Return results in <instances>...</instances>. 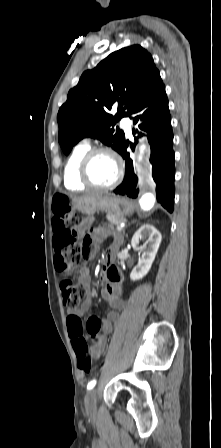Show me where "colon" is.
Returning a JSON list of instances; mask_svg holds the SVG:
<instances>
[{
	"instance_id": "colon-1",
	"label": "colon",
	"mask_w": 221,
	"mask_h": 448,
	"mask_svg": "<svg viewBox=\"0 0 221 448\" xmlns=\"http://www.w3.org/2000/svg\"><path fill=\"white\" fill-rule=\"evenodd\" d=\"M52 211L56 216L54 221V265L56 270L63 275L61 281V292L63 305L67 309H75L85 295V287L75 283L70 275L78 269L90 256L91 239L83 237L77 231L79 227V216L70 212V203L67 196L57 195L53 198ZM68 215V218H66ZM68 331L74 342L77 367L84 373H89L92 362L89 354V346L86 341L81 340L83 335V323L74 316L68 317ZM101 327L99 318L90 315L85 324V330L92 341L97 344L100 341L98 335Z\"/></svg>"
}]
</instances>
